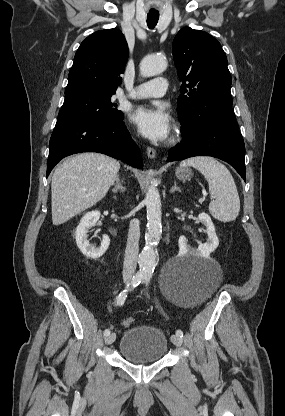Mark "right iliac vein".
I'll return each mask as SVG.
<instances>
[{
	"label": "right iliac vein",
	"instance_id": "63e3f726",
	"mask_svg": "<svg viewBox=\"0 0 285 416\" xmlns=\"http://www.w3.org/2000/svg\"><path fill=\"white\" fill-rule=\"evenodd\" d=\"M129 281V278H124V282L127 283ZM116 339V334L110 333L108 336L105 337V344L110 345L112 344Z\"/></svg>",
	"mask_w": 285,
	"mask_h": 416
}]
</instances>
